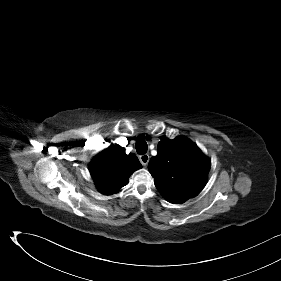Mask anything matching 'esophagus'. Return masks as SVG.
Masks as SVG:
<instances>
[{
    "label": "esophagus",
    "instance_id": "obj_1",
    "mask_svg": "<svg viewBox=\"0 0 281 281\" xmlns=\"http://www.w3.org/2000/svg\"><path fill=\"white\" fill-rule=\"evenodd\" d=\"M150 156L148 154H143L139 157V160L143 166H146L149 162Z\"/></svg>",
    "mask_w": 281,
    "mask_h": 281
}]
</instances>
